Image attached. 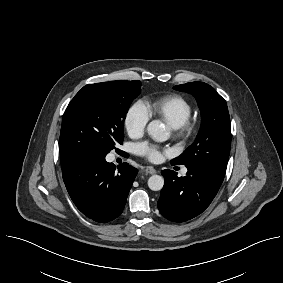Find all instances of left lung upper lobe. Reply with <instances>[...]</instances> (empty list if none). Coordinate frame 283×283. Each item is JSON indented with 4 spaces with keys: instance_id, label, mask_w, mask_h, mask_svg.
I'll use <instances>...</instances> for the list:
<instances>
[{
    "instance_id": "5c2ea615",
    "label": "left lung upper lobe",
    "mask_w": 283,
    "mask_h": 283,
    "mask_svg": "<svg viewBox=\"0 0 283 283\" xmlns=\"http://www.w3.org/2000/svg\"><path fill=\"white\" fill-rule=\"evenodd\" d=\"M174 89L196 97L202 124L194 143L171 164L194 168L223 181L231 147L230 116L226 101L210 85L190 82Z\"/></svg>"
}]
</instances>
